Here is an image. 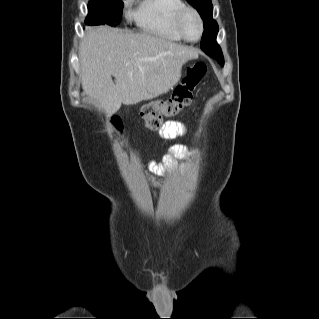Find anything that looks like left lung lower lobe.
<instances>
[{
    "mask_svg": "<svg viewBox=\"0 0 319 319\" xmlns=\"http://www.w3.org/2000/svg\"><path fill=\"white\" fill-rule=\"evenodd\" d=\"M211 50H212V48H211V46L208 44L207 45ZM207 55H209V56H211V57H213V56H216L212 51H210L208 48H201Z\"/></svg>",
    "mask_w": 319,
    "mask_h": 319,
    "instance_id": "1",
    "label": "left lung lower lobe"
}]
</instances>
